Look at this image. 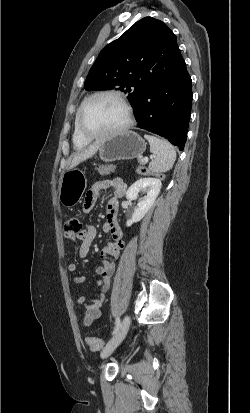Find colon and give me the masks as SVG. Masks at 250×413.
I'll return each instance as SVG.
<instances>
[{"label":"colon","instance_id":"colon-1","mask_svg":"<svg viewBox=\"0 0 250 413\" xmlns=\"http://www.w3.org/2000/svg\"><path fill=\"white\" fill-rule=\"evenodd\" d=\"M137 172L139 174L145 175L146 177L154 176V178L159 182L165 181V173L163 171H155L153 168L139 166L137 167ZM80 229H82L80 220L76 217L69 218L64 225L65 237L69 240L80 239V237L78 236V231ZM85 342L92 350H99L104 345V340L96 337H86Z\"/></svg>","mask_w":250,"mask_h":413}]
</instances>
